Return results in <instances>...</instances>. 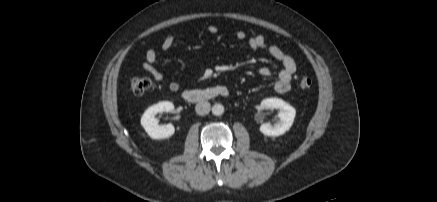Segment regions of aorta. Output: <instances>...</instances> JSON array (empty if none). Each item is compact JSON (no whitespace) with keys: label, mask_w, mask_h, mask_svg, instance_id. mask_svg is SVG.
I'll return each mask as SVG.
<instances>
[{"label":"aorta","mask_w":437,"mask_h":202,"mask_svg":"<svg viewBox=\"0 0 437 202\" xmlns=\"http://www.w3.org/2000/svg\"><path fill=\"white\" fill-rule=\"evenodd\" d=\"M212 113L216 116H220L224 113V106L222 104L216 103L212 107Z\"/></svg>","instance_id":"1"}]
</instances>
